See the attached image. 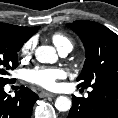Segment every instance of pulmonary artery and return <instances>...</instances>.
Here are the masks:
<instances>
[{
	"label": "pulmonary artery",
	"mask_w": 118,
	"mask_h": 118,
	"mask_svg": "<svg viewBox=\"0 0 118 118\" xmlns=\"http://www.w3.org/2000/svg\"><path fill=\"white\" fill-rule=\"evenodd\" d=\"M70 51H71V49H64V50H61V51H60V54H61L62 56H66Z\"/></svg>",
	"instance_id": "obj_1"
}]
</instances>
